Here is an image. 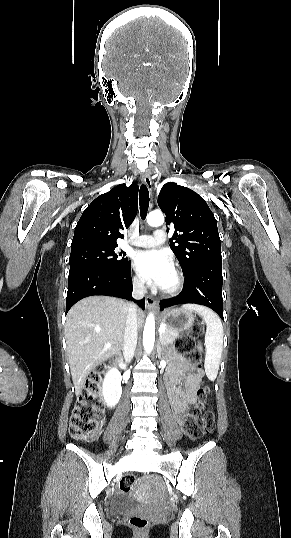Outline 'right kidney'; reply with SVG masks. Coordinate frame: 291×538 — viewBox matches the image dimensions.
Masks as SVG:
<instances>
[{
  "label": "right kidney",
  "instance_id": "obj_1",
  "mask_svg": "<svg viewBox=\"0 0 291 538\" xmlns=\"http://www.w3.org/2000/svg\"><path fill=\"white\" fill-rule=\"evenodd\" d=\"M119 366L122 369L126 368V365L122 362ZM121 379V374L116 368L110 369L105 375L101 390L104 401L109 408L117 405L120 400L122 394Z\"/></svg>",
  "mask_w": 291,
  "mask_h": 538
}]
</instances>
